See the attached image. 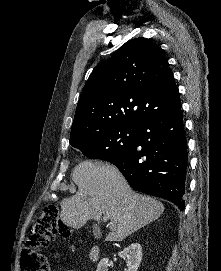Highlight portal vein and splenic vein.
Returning <instances> with one entry per match:
<instances>
[{
    "label": "portal vein and splenic vein",
    "mask_w": 221,
    "mask_h": 271,
    "mask_svg": "<svg viewBox=\"0 0 221 271\" xmlns=\"http://www.w3.org/2000/svg\"><path fill=\"white\" fill-rule=\"evenodd\" d=\"M107 219H108L107 215H104L103 221H107Z\"/></svg>",
    "instance_id": "1"
}]
</instances>
